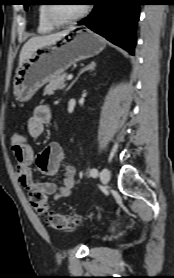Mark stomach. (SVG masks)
<instances>
[{"label": "stomach", "mask_w": 174, "mask_h": 278, "mask_svg": "<svg viewBox=\"0 0 174 278\" xmlns=\"http://www.w3.org/2000/svg\"><path fill=\"white\" fill-rule=\"evenodd\" d=\"M106 42L98 35L79 30L68 33L52 44L36 49L16 70L13 95L18 101L29 100L38 89L64 73L78 61L99 54Z\"/></svg>", "instance_id": "0dacf381"}]
</instances>
